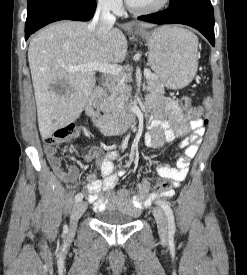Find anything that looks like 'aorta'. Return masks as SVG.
Listing matches in <instances>:
<instances>
[{
    "instance_id": "obj_1",
    "label": "aorta",
    "mask_w": 247,
    "mask_h": 275,
    "mask_svg": "<svg viewBox=\"0 0 247 275\" xmlns=\"http://www.w3.org/2000/svg\"><path fill=\"white\" fill-rule=\"evenodd\" d=\"M125 115H126V111H123L122 116L125 117Z\"/></svg>"
}]
</instances>
